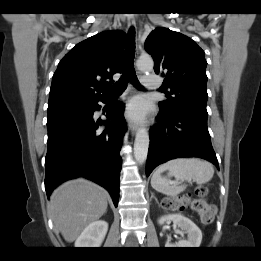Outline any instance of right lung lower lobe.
Segmentation results:
<instances>
[{"mask_svg":"<svg viewBox=\"0 0 261 261\" xmlns=\"http://www.w3.org/2000/svg\"><path fill=\"white\" fill-rule=\"evenodd\" d=\"M68 106L48 112V151L45 158L47 196L62 182L85 177L106 188L117 207L122 160L119 155L126 131L124 105L116 102L107 111V120H95L99 101ZM105 125L104 130H98Z\"/></svg>","mask_w":261,"mask_h":261,"instance_id":"right-lung-lower-lobe-1","label":"right lung lower lobe"}]
</instances>
